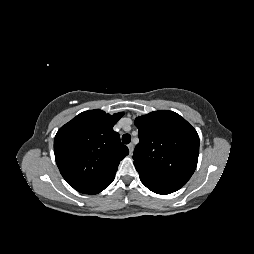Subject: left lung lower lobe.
Here are the masks:
<instances>
[{"instance_id": "1", "label": "left lung lower lobe", "mask_w": 254, "mask_h": 254, "mask_svg": "<svg viewBox=\"0 0 254 254\" xmlns=\"http://www.w3.org/2000/svg\"><path fill=\"white\" fill-rule=\"evenodd\" d=\"M141 182L152 192L157 194H169L172 192L177 191L180 189L183 185L157 180L153 179L144 175L139 174Z\"/></svg>"}]
</instances>
